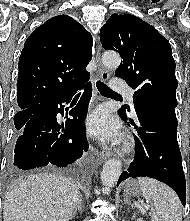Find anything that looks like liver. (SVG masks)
I'll use <instances>...</instances> for the list:
<instances>
[{"label": "liver", "mask_w": 190, "mask_h": 221, "mask_svg": "<svg viewBox=\"0 0 190 221\" xmlns=\"http://www.w3.org/2000/svg\"><path fill=\"white\" fill-rule=\"evenodd\" d=\"M79 198L76 183L65 176L38 173L20 180L3 205L4 221H69Z\"/></svg>", "instance_id": "6515ba94"}]
</instances>
